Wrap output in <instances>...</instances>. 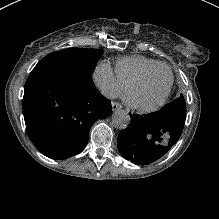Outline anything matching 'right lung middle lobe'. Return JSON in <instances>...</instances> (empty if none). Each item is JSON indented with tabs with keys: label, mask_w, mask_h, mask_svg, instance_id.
<instances>
[{
	"label": "right lung middle lobe",
	"mask_w": 219,
	"mask_h": 219,
	"mask_svg": "<svg viewBox=\"0 0 219 219\" xmlns=\"http://www.w3.org/2000/svg\"><path fill=\"white\" fill-rule=\"evenodd\" d=\"M103 51L101 49L69 48L53 52L45 56L36 66L54 60H68L80 65L92 73L99 57Z\"/></svg>",
	"instance_id": "obj_1"
}]
</instances>
